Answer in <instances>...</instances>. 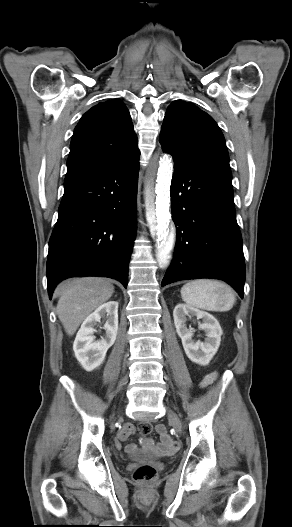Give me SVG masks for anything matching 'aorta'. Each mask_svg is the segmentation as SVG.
Listing matches in <instances>:
<instances>
[{"label":"aorta","instance_id":"aorta-1","mask_svg":"<svg viewBox=\"0 0 292 527\" xmlns=\"http://www.w3.org/2000/svg\"><path fill=\"white\" fill-rule=\"evenodd\" d=\"M172 179V163L168 156H164L159 162L158 168L152 162L147 170L145 179L146 202L151 204L155 201L156 205V241L158 251V261L161 266L168 264L170 251L173 241L170 232L169 212V189Z\"/></svg>","mask_w":292,"mask_h":527}]
</instances>
